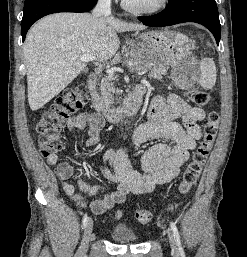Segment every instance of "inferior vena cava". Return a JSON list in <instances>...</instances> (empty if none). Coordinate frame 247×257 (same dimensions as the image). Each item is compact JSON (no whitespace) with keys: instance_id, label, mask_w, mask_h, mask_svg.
<instances>
[{"instance_id":"inferior-vena-cava-1","label":"inferior vena cava","mask_w":247,"mask_h":257,"mask_svg":"<svg viewBox=\"0 0 247 257\" xmlns=\"http://www.w3.org/2000/svg\"><path fill=\"white\" fill-rule=\"evenodd\" d=\"M111 13V0H98L92 15L96 18L108 16Z\"/></svg>"}]
</instances>
